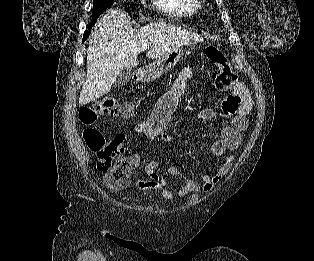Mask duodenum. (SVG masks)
<instances>
[{"mask_svg":"<svg viewBox=\"0 0 314 261\" xmlns=\"http://www.w3.org/2000/svg\"><path fill=\"white\" fill-rule=\"evenodd\" d=\"M141 76H142L141 73H138V74H137V80H140V79H141Z\"/></svg>","mask_w":314,"mask_h":261,"instance_id":"1","label":"duodenum"}]
</instances>
